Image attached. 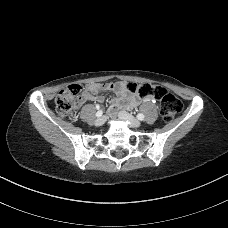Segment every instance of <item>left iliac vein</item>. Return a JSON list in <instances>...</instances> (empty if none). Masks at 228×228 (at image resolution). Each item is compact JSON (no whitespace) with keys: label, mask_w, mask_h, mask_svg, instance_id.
I'll use <instances>...</instances> for the list:
<instances>
[{"label":"left iliac vein","mask_w":228,"mask_h":228,"mask_svg":"<svg viewBox=\"0 0 228 228\" xmlns=\"http://www.w3.org/2000/svg\"><path fill=\"white\" fill-rule=\"evenodd\" d=\"M119 117L130 123V125L134 128H138L141 126V122L139 120H137L136 118H134L132 115L128 114L125 111H120L119 112Z\"/></svg>","instance_id":"1"}]
</instances>
